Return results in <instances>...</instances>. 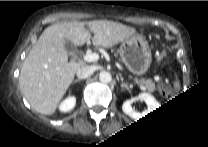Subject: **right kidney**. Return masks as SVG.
Masks as SVG:
<instances>
[{"label": "right kidney", "mask_w": 208, "mask_h": 147, "mask_svg": "<svg viewBox=\"0 0 208 147\" xmlns=\"http://www.w3.org/2000/svg\"><path fill=\"white\" fill-rule=\"evenodd\" d=\"M74 104H75V98L74 97H70V98H67L63 105H62V108L65 109V110H70L74 107Z\"/></svg>", "instance_id": "1"}]
</instances>
